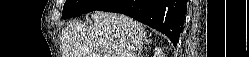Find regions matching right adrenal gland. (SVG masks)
<instances>
[{"instance_id":"obj_1","label":"right adrenal gland","mask_w":249,"mask_h":57,"mask_svg":"<svg viewBox=\"0 0 249 57\" xmlns=\"http://www.w3.org/2000/svg\"><path fill=\"white\" fill-rule=\"evenodd\" d=\"M146 43H151V40H150V39H146V40H145V44H146ZM141 52H142V47L139 49L138 56L141 54Z\"/></svg>"}]
</instances>
